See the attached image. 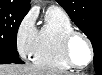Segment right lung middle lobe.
<instances>
[{
	"label": "right lung middle lobe",
	"instance_id": "obj_1",
	"mask_svg": "<svg viewBox=\"0 0 102 75\" xmlns=\"http://www.w3.org/2000/svg\"><path fill=\"white\" fill-rule=\"evenodd\" d=\"M26 14V11L0 10V56L3 54L19 56L16 36Z\"/></svg>",
	"mask_w": 102,
	"mask_h": 75
}]
</instances>
